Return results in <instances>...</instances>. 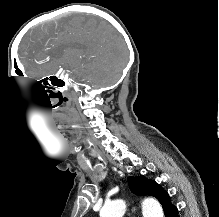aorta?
<instances>
[{
    "instance_id": "aorta-1",
    "label": "aorta",
    "mask_w": 219,
    "mask_h": 217,
    "mask_svg": "<svg viewBox=\"0 0 219 217\" xmlns=\"http://www.w3.org/2000/svg\"><path fill=\"white\" fill-rule=\"evenodd\" d=\"M125 203L122 200L105 204L100 210V217H123ZM143 217H164L163 209L158 201L145 199L142 203Z\"/></svg>"
}]
</instances>
